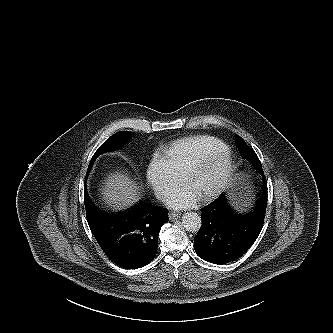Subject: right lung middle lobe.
<instances>
[{
  "label": "right lung middle lobe",
  "mask_w": 333,
  "mask_h": 333,
  "mask_svg": "<svg viewBox=\"0 0 333 333\" xmlns=\"http://www.w3.org/2000/svg\"><path fill=\"white\" fill-rule=\"evenodd\" d=\"M129 138V133L128 132H118L115 133L114 135H112L110 138H108L101 146L100 148L95 152V154L93 155L89 166H88V170H87V174L89 173L95 159L106 152H111L114 151L116 149H118L119 147H121L126 140Z\"/></svg>",
  "instance_id": "1"
}]
</instances>
